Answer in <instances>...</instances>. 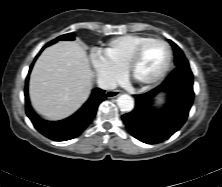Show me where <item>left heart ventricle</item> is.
Masks as SVG:
<instances>
[{
    "instance_id": "b2bd125f",
    "label": "left heart ventricle",
    "mask_w": 222,
    "mask_h": 187,
    "mask_svg": "<svg viewBox=\"0 0 222 187\" xmlns=\"http://www.w3.org/2000/svg\"><path fill=\"white\" fill-rule=\"evenodd\" d=\"M167 48L158 41L149 43L143 50L133 77L138 81H148L155 78L163 70L167 61Z\"/></svg>"
}]
</instances>
